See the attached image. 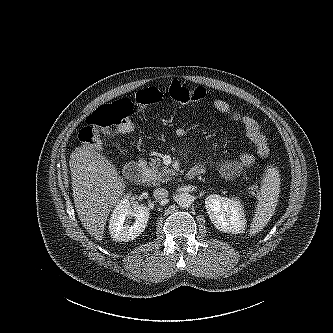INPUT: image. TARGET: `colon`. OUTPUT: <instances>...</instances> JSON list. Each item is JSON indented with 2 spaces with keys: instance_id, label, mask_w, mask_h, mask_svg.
Instances as JSON below:
<instances>
[{
  "instance_id": "1",
  "label": "colon",
  "mask_w": 333,
  "mask_h": 333,
  "mask_svg": "<svg viewBox=\"0 0 333 333\" xmlns=\"http://www.w3.org/2000/svg\"><path fill=\"white\" fill-rule=\"evenodd\" d=\"M169 97L176 103L189 104L206 98L207 92L202 87H186L178 81H173L168 89ZM164 94L156 87L140 90L135 97V103L123 98L96 109L87 119L86 126L80 131L79 139L92 147L101 144L102 137L110 133H128L134 129L132 119L134 110L160 103ZM252 194H259L257 185L249 187Z\"/></svg>"
}]
</instances>
